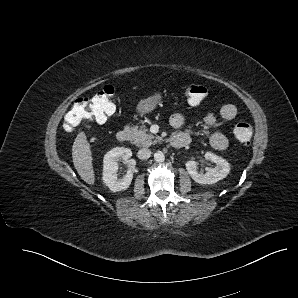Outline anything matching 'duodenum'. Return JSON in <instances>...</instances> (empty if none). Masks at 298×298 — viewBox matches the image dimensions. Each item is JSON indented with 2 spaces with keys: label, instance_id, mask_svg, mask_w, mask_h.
<instances>
[{
  "label": "duodenum",
  "instance_id": "obj_1",
  "mask_svg": "<svg viewBox=\"0 0 298 298\" xmlns=\"http://www.w3.org/2000/svg\"><path fill=\"white\" fill-rule=\"evenodd\" d=\"M130 137H131V133H130V130L127 128H123L119 130L117 133V140L121 143L129 142ZM170 142L174 148H183L189 144L190 137L184 133H178L172 136Z\"/></svg>",
  "mask_w": 298,
  "mask_h": 298
}]
</instances>
